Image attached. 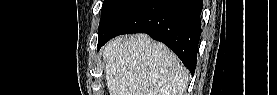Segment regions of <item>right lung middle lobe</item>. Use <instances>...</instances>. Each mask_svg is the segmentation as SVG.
I'll list each match as a JSON object with an SVG mask.
<instances>
[{
    "label": "right lung middle lobe",
    "instance_id": "dd1d6c3e",
    "mask_svg": "<svg viewBox=\"0 0 277 95\" xmlns=\"http://www.w3.org/2000/svg\"><path fill=\"white\" fill-rule=\"evenodd\" d=\"M142 2L144 0H104L99 24L98 46Z\"/></svg>",
    "mask_w": 277,
    "mask_h": 95
}]
</instances>
